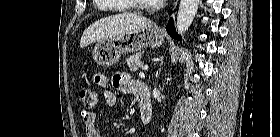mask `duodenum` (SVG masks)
I'll return each mask as SVG.
<instances>
[{"label": "duodenum", "instance_id": "1", "mask_svg": "<svg viewBox=\"0 0 280 137\" xmlns=\"http://www.w3.org/2000/svg\"><path fill=\"white\" fill-rule=\"evenodd\" d=\"M137 98L140 106V120L144 125L149 124L153 119V106L149 88L146 84L140 83L137 88Z\"/></svg>", "mask_w": 280, "mask_h": 137}]
</instances>
